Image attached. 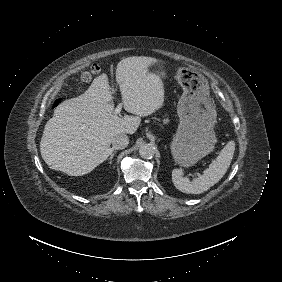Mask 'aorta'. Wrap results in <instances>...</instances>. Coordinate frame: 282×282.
I'll use <instances>...</instances> for the list:
<instances>
[{
	"mask_svg": "<svg viewBox=\"0 0 282 282\" xmlns=\"http://www.w3.org/2000/svg\"><path fill=\"white\" fill-rule=\"evenodd\" d=\"M139 155L144 159H151L155 155V148L150 144H143L139 148Z\"/></svg>",
	"mask_w": 282,
	"mask_h": 282,
	"instance_id": "aorta-1",
	"label": "aorta"
}]
</instances>
